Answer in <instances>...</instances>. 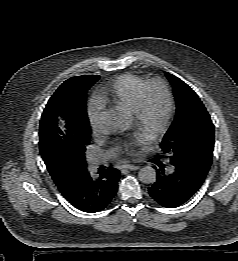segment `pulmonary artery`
Segmentation results:
<instances>
[{"label":"pulmonary artery","instance_id":"e3ab8cb5","mask_svg":"<svg viewBox=\"0 0 238 261\" xmlns=\"http://www.w3.org/2000/svg\"><path fill=\"white\" fill-rule=\"evenodd\" d=\"M112 156H113V154L111 152L97 155V156H95L94 158L91 159V166L92 167H97L98 165L106 162Z\"/></svg>","mask_w":238,"mask_h":261}]
</instances>
